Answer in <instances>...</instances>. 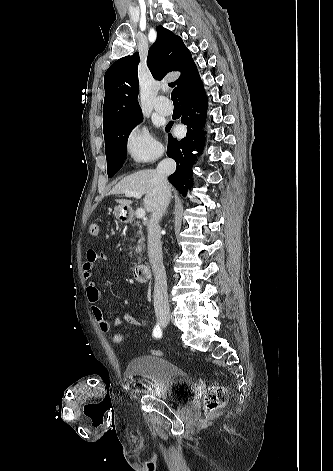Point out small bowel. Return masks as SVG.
I'll use <instances>...</instances> for the list:
<instances>
[{"label":"small bowel","mask_w":333,"mask_h":471,"mask_svg":"<svg viewBox=\"0 0 333 471\" xmlns=\"http://www.w3.org/2000/svg\"><path fill=\"white\" fill-rule=\"evenodd\" d=\"M107 259L108 257L103 252H97L91 249L87 251L86 260L83 263V277L87 282V300L91 306L94 319L96 320L99 329L106 333L111 330L112 326L118 327L122 324H128L132 326L145 325L146 322H142L130 314H119L111 324L106 318L103 310L100 308L99 302L101 300V292L93 279V273L96 262Z\"/></svg>","instance_id":"small-bowel-1"}]
</instances>
